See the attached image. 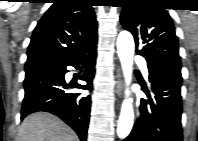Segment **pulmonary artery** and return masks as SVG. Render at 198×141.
<instances>
[{
  "label": "pulmonary artery",
  "instance_id": "pulmonary-artery-1",
  "mask_svg": "<svg viewBox=\"0 0 198 141\" xmlns=\"http://www.w3.org/2000/svg\"><path fill=\"white\" fill-rule=\"evenodd\" d=\"M136 62L141 66L143 74L147 76L146 61L143 57H137Z\"/></svg>",
  "mask_w": 198,
  "mask_h": 141
}]
</instances>
